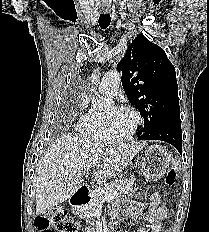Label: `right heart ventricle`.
Returning <instances> with one entry per match:
<instances>
[{
    "instance_id": "right-heart-ventricle-1",
    "label": "right heart ventricle",
    "mask_w": 209,
    "mask_h": 232,
    "mask_svg": "<svg viewBox=\"0 0 209 232\" xmlns=\"http://www.w3.org/2000/svg\"><path fill=\"white\" fill-rule=\"evenodd\" d=\"M78 132L86 139L103 141L106 139L102 129V115L94 110L86 112L77 124Z\"/></svg>"
}]
</instances>
